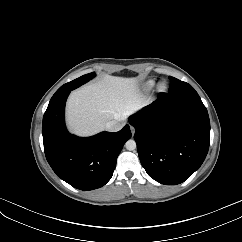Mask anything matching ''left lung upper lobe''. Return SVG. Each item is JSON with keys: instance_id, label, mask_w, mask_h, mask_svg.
Segmentation results:
<instances>
[{"instance_id": "1", "label": "left lung upper lobe", "mask_w": 242, "mask_h": 242, "mask_svg": "<svg viewBox=\"0 0 242 242\" xmlns=\"http://www.w3.org/2000/svg\"><path fill=\"white\" fill-rule=\"evenodd\" d=\"M170 88L167 94L169 95H182L189 93H197L194 88L186 82L180 81L174 77H169Z\"/></svg>"}]
</instances>
